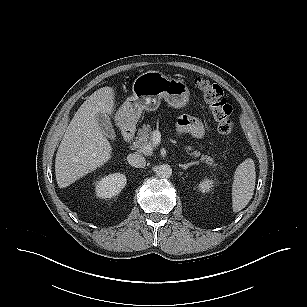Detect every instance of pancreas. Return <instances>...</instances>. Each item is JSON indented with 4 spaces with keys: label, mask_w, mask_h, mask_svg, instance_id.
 I'll return each mask as SVG.
<instances>
[{
    "label": "pancreas",
    "mask_w": 307,
    "mask_h": 307,
    "mask_svg": "<svg viewBox=\"0 0 307 307\" xmlns=\"http://www.w3.org/2000/svg\"><path fill=\"white\" fill-rule=\"evenodd\" d=\"M152 134H153V130L151 126L149 124L143 125V127L138 130V137L136 138V141L134 142V146L137 149L143 151L145 154H151L152 153L151 150H146L145 147L147 145L152 144ZM191 150H192L191 146L186 147V151H191ZM200 155L201 153L197 150L190 153V156L197 157V158ZM200 160L202 162H205L208 166H212L213 168L217 166V164L214 163V159L211 158L210 156L202 155Z\"/></svg>",
    "instance_id": "cf45deb5"
}]
</instances>
